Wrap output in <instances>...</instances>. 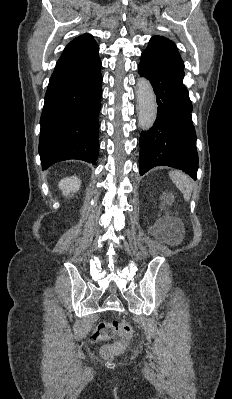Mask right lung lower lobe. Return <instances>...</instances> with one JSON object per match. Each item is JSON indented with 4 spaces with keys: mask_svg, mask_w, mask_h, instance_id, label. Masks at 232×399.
I'll return each instance as SVG.
<instances>
[{
    "mask_svg": "<svg viewBox=\"0 0 232 399\" xmlns=\"http://www.w3.org/2000/svg\"><path fill=\"white\" fill-rule=\"evenodd\" d=\"M100 68L98 52L65 55L57 61L40 120L43 170L67 159L96 164L102 95Z\"/></svg>",
    "mask_w": 232,
    "mask_h": 399,
    "instance_id": "obj_1",
    "label": "right lung lower lobe"
}]
</instances>
